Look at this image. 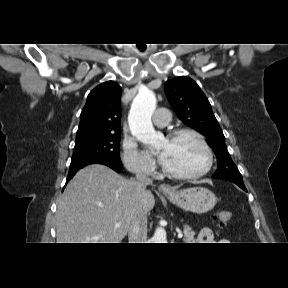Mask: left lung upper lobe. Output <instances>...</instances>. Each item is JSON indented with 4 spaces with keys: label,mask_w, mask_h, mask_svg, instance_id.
<instances>
[{
    "label": "left lung upper lobe",
    "mask_w": 288,
    "mask_h": 288,
    "mask_svg": "<svg viewBox=\"0 0 288 288\" xmlns=\"http://www.w3.org/2000/svg\"><path fill=\"white\" fill-rule=\"evenodd\" d=\"M164 89L171 106L183 123L207 137V142L218 159V168L212 177L243 184L211 105L198 84L191 78L180 76L168 80Z\"/></svg>",
    "instance_id": "left-lung-upper-lobe-1"
}]
</instances>
